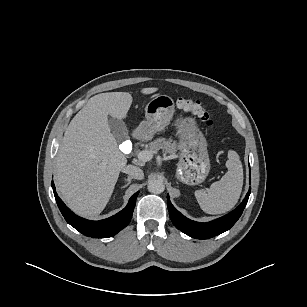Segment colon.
<instances>
[{"label": "colon", "instance_id": "5ec220e1", "mask_svg": "<svg viewBox=\"0 0 307 307\" xmlns=\"http://www.w3.org/2000/svg\"><path fill=\"white\" fill-rule=\"evenodd\" d=\"M176 104L179 109L197 116L207 126L212 125L210 111L201 101L180 97L177 99Z\"/></svg>", "mask_w": 307, "mask_h": 307}]
</instances>
